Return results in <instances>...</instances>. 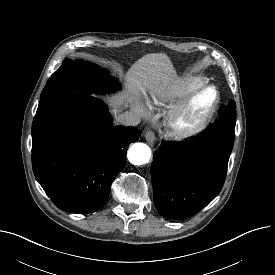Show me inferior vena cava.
I'll list each match as a JSON object with an SVG mask.
<instances>
[{"label":"inferior vena cava","instance_id":"obj_1","mask_svg":"<svg viewBox=\"0 0 275 275\" xmlns=\"http://www.w3.org/2000/svg\"><path fill=\"white\" fill-rule=\"evenodd\" d=\"M118 122L124 126H136L140 123V116L134 112H125L118 116Z\"/></svg>","mask_w":275,"mask_h":275}]
</instances>
